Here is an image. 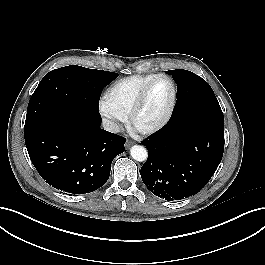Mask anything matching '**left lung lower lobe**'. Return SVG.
<instances>
[{
	"label": "left lung lower lobe",
	"mask_w": 265,
	"mask_h": 265,
	"mask_svg": "<svg viewBox=\"0 0 265 265\" xmlns=\"http://www.w3.org/2000/svg\"><path fill=\"white\" fill-rule=\"evenodd\" d=\"M149 155L140 174L156 196L179 200L199 192L210 180L224 151V128L201 121L167 124L142 142Z\"/></svg>",
	"instance_id": "left-lung-lower-lobe-1"
}]
</instances>
